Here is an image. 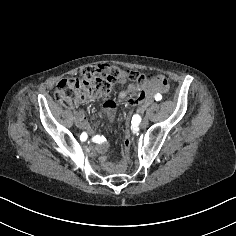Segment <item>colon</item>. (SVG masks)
I'll return each mask as SVG.
<instances>
[{
    "label": "colon",
    "instance_id": "5ec220e1",
    "mask_svg": "<svg viewBox=\"0 0 236 236\" xmlns=\"http://www.w3.org/2000/svg\"><path fill=\"white\" fill-rule=\"evenodd\" d=\"M122 77L138 83L167 85L164 77L152 73L141 74L136 71L121 70L107 64L89 65L81 69L79 77L59 81L54 97L65 107L74 108L88 98L108 94L114 82ZM130 146L131 136L127 128L123 141V152L126 159L130 154Z\"/></svg>",
    "mask_w": 236,
    "mask_h": 236
}]
</instances>
